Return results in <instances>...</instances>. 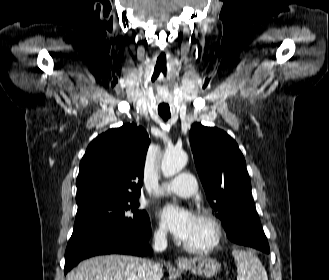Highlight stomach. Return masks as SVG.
I'll list each match as a JSON object with an SVG mask.
<instances>
[{"instance_id":"0dacf381","label":"stomach","mask_w":329,"mask_h":280,"mask_svg":"<svg viewBox=\"0 0 329 280\" xmlns=\"http://www.w3.org/2000/svg\"><path fill=\"white\" fill-rule=\"evenodd\" d=\"M180 268L194 275L213 277L221 270V264L211 258H201L189 265L180 266Z\"/></svg>"}]
</instances>
